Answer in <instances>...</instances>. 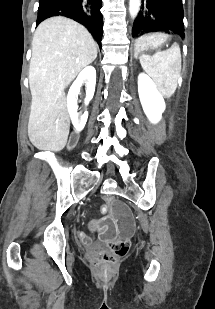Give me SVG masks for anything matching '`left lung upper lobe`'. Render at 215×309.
Instances as JSON below:
<instances>
[{"label":"left lung upper lobe","instance_id":"5c2ea615","mask_svg":"<svg viewBox=\"0 0 215 309\" xmlns=\"http://www.w3.org/2000/svg\"><path fill=\"white\" fill-rule=\"evenodd\" d=\"M151 31L184 34L181 0H142L141 11L133 24L132 36Z\"/></svg>","mask_w":215,"mask_h":309}]
</instances>
